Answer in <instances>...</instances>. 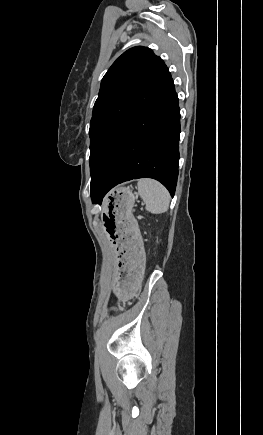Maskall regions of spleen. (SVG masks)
Listing matches in <instances>:
<instances>
[{
	"mask_svg": "<svg viewBox=\"0 0 263 435\" xmlns=\"http://www.w3.org/2000/svg\"><path fill=\"white\" fill-rule=\"evenodd\" d=\"M138 193L146 205V210L153 214L167 211L170 204L168 190L158 181L144 178L138 181Z\"/></svg>",
	"mask_w": 263,
	"mask_h": 435,
	"instance_id": "3e777b00",
	"label": "spleen"
}]
</instances>
